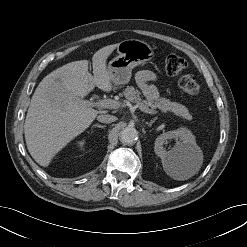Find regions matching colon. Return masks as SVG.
Here are the masks:
<instances>
[{
  "mask_svg": "<svg viewBox=\"0 0 247 247\" xmlns=\"http://www.w3.org/2000/svg\"><path fill=\"white\" fill-rule=\"evenodd\" d=\"M165 69L169 75L179 76V86L188 95H196L200 85L196 78L188 73L186 60L176 54H170L165 59Z\"/></svg>",
  "mask_w": 247,
  "mask_h": 247,
  "instance_id": "obj_1",
  "label": "colon"
}]
</instances>
